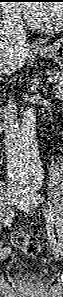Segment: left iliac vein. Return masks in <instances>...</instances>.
<instances>
[{
	"label": "left iliac vein",
	"instance_id": "obj_1",
	"mask_svg": "<svg viewBox=\"0 0 63 297\" xmlns=\"http://www.w3.org/2000/svg\"><path fill=\"white\" fill-rule=\"evenodd\" d=\"M23 202V203H21ZM16 205L19 209L21 210H24V211H29L30 210V204L24 200V198H19L17 201H16ZM62 250V247L60 244H57L56 247L54 248V251H55V255H59V252Z\"/></svg>",
	"mask_w": 63,
	"mask_h": 297
}]
</instances>
